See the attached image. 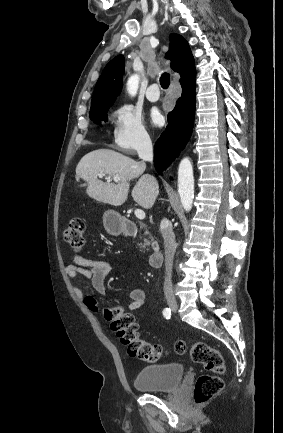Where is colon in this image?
<instances>
[{
  "mask_svg": "<svg viewBox=\"0 0 283 433\" xmlns=\"http://www.w3.org/2000/svg\"><path fill=\"white\" fill-rule=\"evenodd\" d=\"M85 223L80 217L71 219L68 227L63 232V239L69 247L79 252L85 245ZM88 306L96 309L95 299H86ZM105 318L110 322L111 329L117 334L121 342L127 347L131 357L147 362L158 361L165 353L164 348L158 344H152L140 337L138 325L133 314L125 312L120 306L105 309ZM177 354L189 352L193 362L201 364L207 371L199 376L194 386V401L203 404L220 393L224 387L221 375L225 371V363L221 353L203 341H197L190 346L183 341L175 344Z\"/></svg>",
  "mask_w": 283,
  "mask_h": 433,
  "instance_id": "obj_1",
  "label": "colon"
}]
</instances>
